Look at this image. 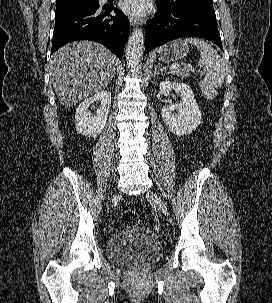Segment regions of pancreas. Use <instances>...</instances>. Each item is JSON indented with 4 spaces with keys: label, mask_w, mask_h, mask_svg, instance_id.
<instances>
[{
    "label": "pancreas",
    "mask_w": 272,
    "mask_h": 303,
    "mask_svg": "<svg viewBox=\"0 0 272 303\" xmlns=\"http://www.w3.org/2000/svg\"><path fill=\"white\" fill-rule=\"evenodd\" d=\"M169 73L172 74V75L179 76V77H187L188 76V73H186L182 69H171Z\"/></svg>",
    "instance_id": "obj_1"
}]
</instances>
